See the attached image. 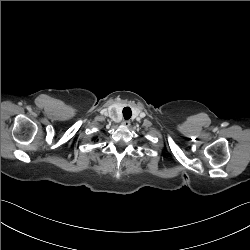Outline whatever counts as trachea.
Returning a JSON list of instances; mask_svg holds the SVG:
<instances>
[{
    "label": "trachea",
    "instance_id": "trachea-1",
    "mask_svg": "<svg viewBox=\"0 0 250 250\" xmlns=\"http://www.w3.org/2000/svg\"><path fill=\"white\" fill-rule=\"evenodd\" d=\"M132 115V111L129 107H125L123 109V116H124V119L128 120Z\"/></svg>",
    "mask_w": 250,
    "mask_h": 250
}]
</instances>
